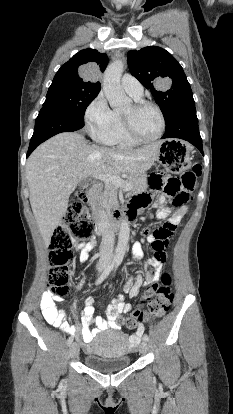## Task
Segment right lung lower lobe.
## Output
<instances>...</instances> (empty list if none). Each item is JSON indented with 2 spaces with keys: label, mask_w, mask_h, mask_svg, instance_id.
<instances>
[{
  "label": "right lung lower lobe",
  "mask_w": 233,
  "mask_h": 414,
  "mask_svg": "<svg viewBox=\"0 0 233 414\" xmlns=\"http://www.w3.org/2000/svg\"><path fill=\"white\" fill-rule=\"evenodd\" d=\"M84 127V119L58 109L43 107L35 121V129L30 141L27 157L42 142L61 133L76 131Z\"/></svg>",
  "instance_id": "1"
}]
</instances>
